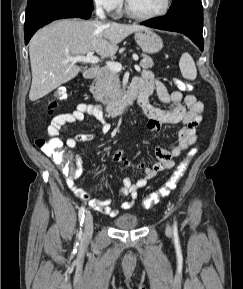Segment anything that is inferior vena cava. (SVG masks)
<instances>
[{
    "instance_id": "inferior-vena-cava-1",
    "label": "inferior vena cava",
    "mask_w": 243,
    "mask_h": 289,
    "mask_svg": "<svg viewBox=\"0 0 243 289\" xmlns=\"http://www.w3.org/2000/svg\"><path fill=\"white\" fill-rule=\"evenodd\" d=\"M96 15L102 20L105 19V14L100 4L96 5Z\"/></svg>"
}]
</instances>
